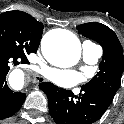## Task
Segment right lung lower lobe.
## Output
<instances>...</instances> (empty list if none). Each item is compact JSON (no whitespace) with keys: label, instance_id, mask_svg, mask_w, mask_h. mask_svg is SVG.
Segmentation results:
<instances>
[{"label":"right lung lower lobe","instance_id":"1","mask_svg":"<svg viewBox=\"0 0 124 124\" xmlns=\"http://www.w3.org/2000/svg\"><path fill=\"white\" fill-rule=\"evenodd\" d=\"M29 63L26 57H18L0 50V120L12 116L22 106L26 94L12 91L6 82V75L12 64Z\"/></svg>","mask_w":124,"mask_h":124}]
</instances>
